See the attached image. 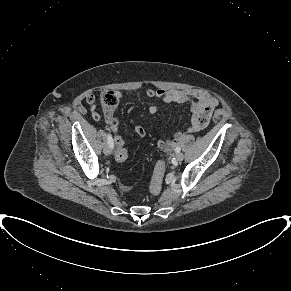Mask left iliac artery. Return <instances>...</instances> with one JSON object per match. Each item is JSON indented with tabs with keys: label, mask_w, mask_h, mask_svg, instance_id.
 <instances>
[{
	"label": "left iliac artery",
	"mask_w": 291,
	"mask_h": 291,
	"mask_svg": "<svg viewBox=\"0 0 291 291\" xmlns=\"http://www.w3.org/2000/svg\"><path fill=\"white\" fill-rule=\"evenodd\" d=\"M175 151H176V152H180V151H181V148H180L179 146H177V147L175 148Z\"/></svg>",
	"instance_id": "44dca946"
}]
</instances>
